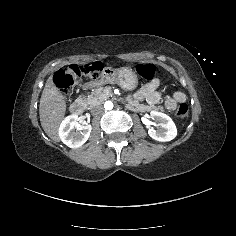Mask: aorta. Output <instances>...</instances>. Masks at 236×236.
I'll use <instances>...</instances> for the list:
<instances>
[{
    "mask_svg": "<svg viewBox=\"0 0 236 236\" xmlns=\"http://www.w3.org/2000/svg\"><path fill=\"white\" fill-rule=\"evenodd\" d=\"M104 108L106 110H112L113 109V102L111 101H106L105 104H104Z\"/></svg>",
    "mask_w": 236,
    "mask_h": 236,
    "instance_id": "aorta-1",
    "label": "aorta"
}]
</instances>
